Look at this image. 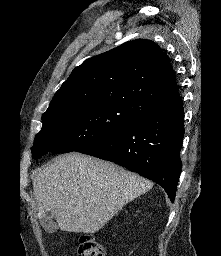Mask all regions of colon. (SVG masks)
Wrapping results in <instances>:
<instances>
[{
	"label": "colon",
	"instance_id": "obj_1",
	"mask_svg": "<svg viewBox=\"0 0 221 256\" xmlns=\"http://www.w3.org/2000/svg\"><path fill=\"white\" fill-rule=\"evenodd\" d=\"M79 256H105V249L91 235H83L79 240Z\"/></svg>",
	"mask_w": 221,
	"mask_h": 256
}]
</instances>
